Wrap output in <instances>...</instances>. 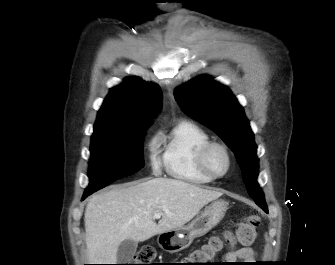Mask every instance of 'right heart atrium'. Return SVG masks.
<instances>
[{"instance_id":"right-heart-atrium-1","label":"right heart atrium","mask_w":335,"mask_h":265,"mask_svg":"<svg viewBox=\"0 0 335 265\" xmlns=\"http://www.w3.org/2000/svg\"><path fill=\"white\" fill-rule=\"evenodd\" d=\"M150 161L151 166L155 172L159 171L160 169V160L156 154V142L152 141L150 143Z\"/></svg>"}]
</instances>
